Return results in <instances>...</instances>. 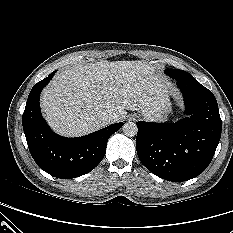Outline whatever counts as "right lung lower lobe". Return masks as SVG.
Segmentation results:
<instances>
[{"label":"right lung lower lobe","instance_id":"obj_1","mask_svg":"<svg viewBox=\"0 0 233 233\" xmlns=\"http://www.w3.org/2000/svg\"><path fill=\"white\" fill-rule=\"evenodd\" d=\"M55 73L33 86L22 123L30 153L37 165L54 177L71 179L92 171L101 162L109 137L122 127L123 122L77 138L55 134L43 119L39 105L40 93Z\"/></svg>","mask_w":233,"mask_h":233}]
</instances>
